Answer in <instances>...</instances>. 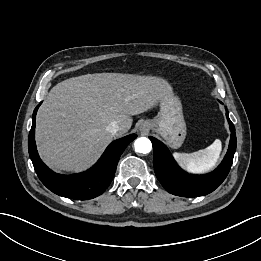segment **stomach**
<instances>
[{
  "instance_id": "1",
  "label": "stomach",
  "mask_w": 261,
  "mask_h": 261,
  "mask_svg": "<svg viewBox=\"0 0 261 261\" xmlns=\"http://www.w3.org/2000/svg\"><path fill=\"white\" fill-rule=\"evenodd\" d=\"M150 128L159 133L172 148L180 147L186 137V123L182 105L175 96L160 101V112L152 120H146Z\"/></svg>"
}]
</instances>
